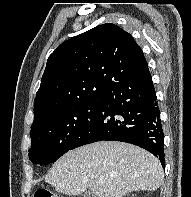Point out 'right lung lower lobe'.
<instances>
[{"label":"right lung lower lobe","instance_id":"1","mask_svg":"<svg viewBox=\"0 0 191 197\" xmlns=\"http://www.w3.org/2000/svg\"><path fill=\"white\" fill-rule=\"evenodd\" d=\"M98 109L71 149L110 140L137 145L165 167L164 133L156 92L148 66L105 89Z\"/></svg>","mask_w":191,"mask_h":197}]
</instances>
